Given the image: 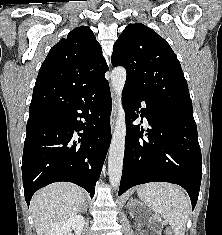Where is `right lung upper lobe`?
I'll return each mask as SVG.
<instances>
[{
  "mask_svg": "<svg viewBox=\"0 0 222 235\" xmlns=\"http://www.w3.org/2000/svg\"><path fill=\"white\" fill-rule=\"evenodd\" d=\"M108 70L93 31L80 26L51 48L41 65L33 93L50 87L62 95L99 81ZM29 110L28 122L51 120L50 108L41 99L34 98Z\"/></svg>",
  "mask_w": 222,
  "mask_h": 235,
  "instance_id": "obj_1",
  "label": "right lung upper lobe"
}]
</instances>
